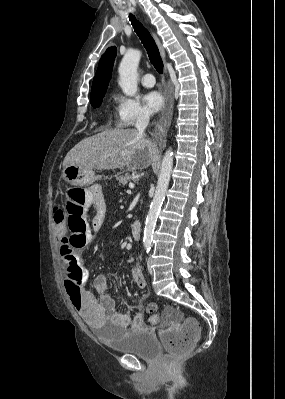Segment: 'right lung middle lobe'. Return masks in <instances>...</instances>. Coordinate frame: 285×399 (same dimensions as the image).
<instances>
[{
    "label": "right lung middle lobe",
    "instance_id": "dd1d6c3e",
    "mask_svg": "<svg viewBox=\"0 0 285 399\" xmlns=\"http://www.w3.org/2000/svg\"><path fill=\"white\" fill-rule=\"evenodd\" d=\"M104 95H105V92L91 97V105L94 108L99 107L101 102H102V99H103Z\"/></svg>",
    "mask_w": 285,
    "mask_h": 399
}]
</instances>
